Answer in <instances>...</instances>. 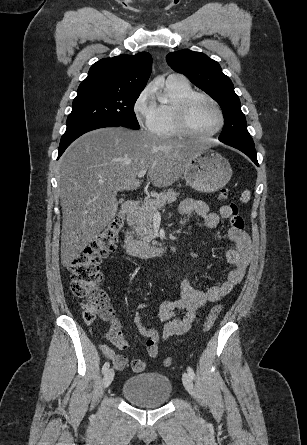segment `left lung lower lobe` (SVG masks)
<instances>
[{"label":"left lung lower lobe","mask_w":307,"mask_h":445,"mask_svg":"<svg viewBox=\"0 0 307 445\" xmlns=\"http://www.w3.org/2000/svg\"><path fill=\"white\" fill-rule=\"evenodd\" d=\"M227 145H230L243 153H245L257 166H259L257 157H256V150L254 147V143H240V142H232V141H221Z\"/></svg>","instance_id":"1"}]
</instances>
